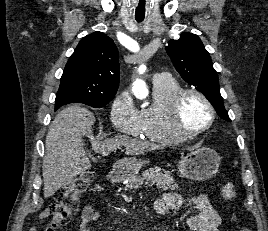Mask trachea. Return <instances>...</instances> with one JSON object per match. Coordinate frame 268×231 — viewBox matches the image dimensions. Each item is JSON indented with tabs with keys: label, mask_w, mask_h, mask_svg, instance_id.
<instances>
[{
	"label": "trachea",
	"mask_w": 268,
	"mask_h": 231,
	"mask_svg": "<svg viewBox=\"0 0 268 231\" xmlns=\"http://www.w3.org/2000/svg\"><path fill=\"white\" fill-rule=\"evenodd\" d=\"M138 22H142L143 21V19H136Z\"/></svg>",
	"instance_id": "1"
}]
</instances>
